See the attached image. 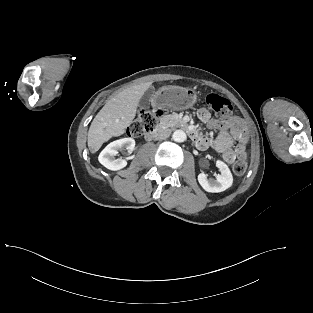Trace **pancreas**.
Masks as SVG:
<instances>
[{"mask_svg": "<svg viewBox=\"0 0 313 313\" xmlns=\"http://www.w3.org/2000/svg\"><path fill=\"white\" fill-rule=\"evenodd\" d=\"M161 124L166 127H174V126H184V122L180 116L177 114L165 115L161 119Z\"/></svg>", "mask_w": 313, "mask_h": 313, "instance_id": "obj_1", "label": "pancreas"}]
</instances>
